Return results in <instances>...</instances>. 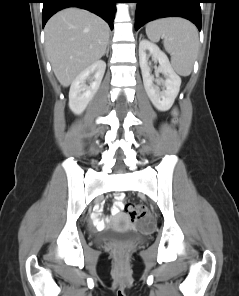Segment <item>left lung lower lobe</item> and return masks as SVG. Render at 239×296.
I'll use <instances>...</instances> for the list:
<instances>
[{"label":"left lung lower lobe","instance_id":"0a47b994","mask_svg":"<svg viewBox=\"0 0 239 296\" xmlns=\"http://www.w3.org/2000/svg\"><path fill=\"white\" fill-rule=\"evenodd\" d=\"M137 3L135 30L157 18L183 17L201 30V0H131Z\"/></svg>","mask_w":239,"mask_h":296}]
</instances>
